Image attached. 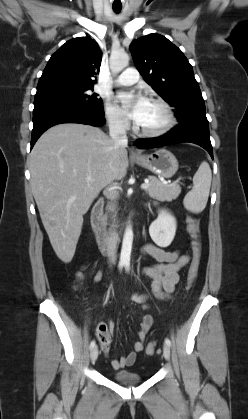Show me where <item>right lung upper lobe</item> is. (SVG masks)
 I'll list each match as a JSON object with an SVG mask.
<instances>
[{"label":"right lung upper lobe","mask_w":248,"mask_h":419,"mask_svg":"<svg viewBox=\"0 0 248 419\" xmlns=\"http://www.w3.org/2000/svg\"><path fill=\"white\" fill-rule=\"evenodd\" d=\"M102 52L90 37H78L62 45L49 59L37 92L57 88H88L96 83Z\"/></svg>","instance_id":"right-lung-upper-lobe-1"}]
</instances>
